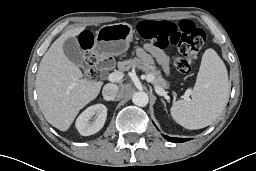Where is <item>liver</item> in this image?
Returning a JSON list of instances; mask_svg holds the SVG:
<instances>
[{
  "label": "liver",
  "mask_w": 256,
  "mask_h": 171,
  "mask_svg": "<svg viewBox=\"0 0 256 171\" xmlns=\"http://www.w3.org/2000/svg\"><path fill=\"white\" fill-rule=\"evenodd\" d=\"M85 26L63 33L44 54L36 75L38 104L45 119L60 131H67L79 111L100 93L102 82L82 79L80 69L64 51L66 39L78 36Z\"/></svg>",
  "instance_id": "obj_1"
}]
</instances>
